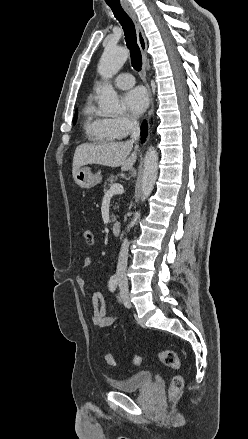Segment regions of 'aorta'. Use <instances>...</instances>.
Segmentation results:
<instances>
[{"mask_svg": "<svg viewBox=\"0 0 248 439\" xmlns=\"http://www.w3.org/2000/svg\"><path fill=\"white\" fill-rule=\"evenodd\" d=\"M128 58V50L123 47L108 45L98 64V72L104 80L112 78L124 65ZM99 107L105 114L119 113L122 111L116 91L108 83L99 90ZM158 173V154L150 146L144 159V169L141 180V201L144 202L152 193ZM140 212H135L132 221L127 226V231L134 227L140 218Z\"/></svg>", "mask_w": 248, "mask_h": 439, "instance_id": "aorta-1", "label": "aorta"}]
</instances>
